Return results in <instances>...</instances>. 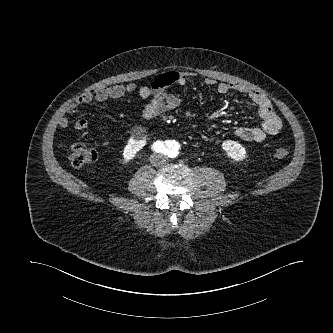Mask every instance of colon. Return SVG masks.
<instances>
[{
	"mask_svg": "<svg viewBox=\"0 0 333 333\" xmlns=\"http://www.w3.org/2000/svg\"><path fill=\"white\" fill-rule=\"evenodd\" d=\"M289 151L286 148L280 147L274 150L273 156L277 159L288 157ZM68 158L71 165L75 168L85 167L96 159V152L93 148L85 144H73L68 150Z\"/></svg>",
	"mask_w": 333,
	"mask_h": 333,
	"instance_id": "obj_1",
	"label": "colon"
}]
</instances>
